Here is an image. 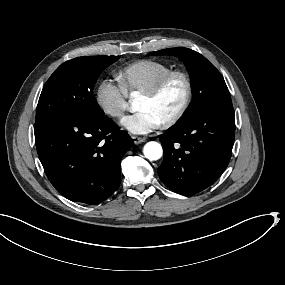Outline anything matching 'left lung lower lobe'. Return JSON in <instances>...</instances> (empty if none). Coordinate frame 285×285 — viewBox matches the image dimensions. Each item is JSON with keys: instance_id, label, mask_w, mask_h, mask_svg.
<instances>
[{"instance_id": "1", "label": "left lung lower lobe", "mask_w": 285, "mask_h": 285, "mask_svg": "<svg viewBox=\"0 0 285 285\" xmlns=\"http://www.w3.org/2000/svg\"><path fill=\"white\" fill-rule=\"evenodd\" d=\"M234 137L233 109H208L177 122L159 135L164 151L158 168L161 181L183 195L206 189L228 166Z\"/></svg>"}]
</instances>
